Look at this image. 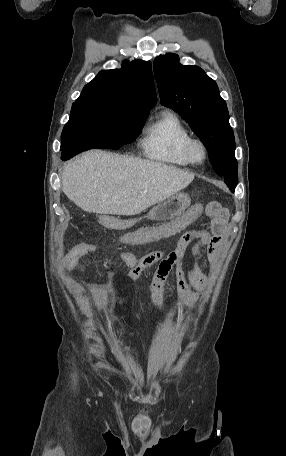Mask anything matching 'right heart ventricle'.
I'll return each mask as SVG.
<instances>
[{
  "label": "right heart ventricle",
  "mask_w": 286,
  "mask_h": 456,
  "mask_svg": "<svg viewBox=\"0 0 286 456\" xmlns=\"http://www.w3.org/2000/svg\"><path fill=\"white\" fill-rule=\"evenodd\" d=\"M191 134L181 119L173 112H163L151 123L141 140L144 155L156 162L187 166L185 145Z\"/></svg>",
  "instance_id": "right-heart-ventricle-1"
}]
</instances>
